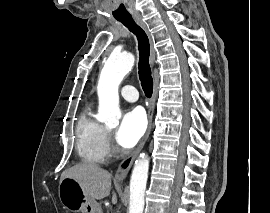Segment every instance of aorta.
Here are the masks:
<instances>
[{
  "label": "aorta",
  "mask_w": 270,
  "mask_h": 213,
  "mask_svg": "<svg viewBox=\"0 0 270 213\" xmlns=\"http://www.w3.org/2000/svg\"><path fill=\"white\" fill-rule=\"evenodd\" d=\"M134 55L128 52L112 53L101 71L97 91L99 97L98 120L107 125L119 124L118 88L123 78L134 66ZM149 159L142 154L135 165L130 179L129 213H143L144 195L148 178Z\"/></svg>",
  "instance_id": "aorta-1"
}]
</instances>
